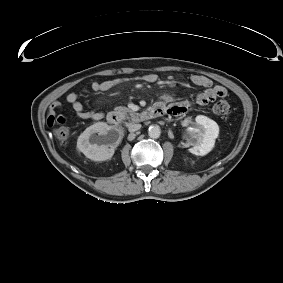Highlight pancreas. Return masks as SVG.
I'll use <instances>...</instances> for the list:
<instances>
[{
	"label": "pancreas",
	"mask_w": 283,
	"mask_h": 283,
	"mask_svg": "<svg viewBox=\"0 0 283 283\" xmlns=\"http://www.w3.org/2000/svg\"><path fill=\"white\" fill-rule=\"evenodd\" d=\"M114 112L119 115L120 117L127 118L128 115H130L131 120L133 121H139L140 120V115L138 113L133 112L129 108L125 106H118L115 107Z\"/></svg>",
	"instance_id": "obj_1"
}]
</instances>
